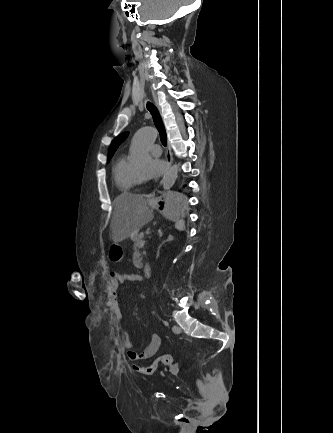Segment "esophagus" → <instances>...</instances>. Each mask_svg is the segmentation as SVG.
<instances>
[{"mask_svg": "<svg viewBox=\"0 0 333 433\" xmlns=\"http://www.w3.org/2000/svg\"><path fill=\"white\" fill-rule=\"evenodd\" d=\"M172 151H171V147L169 144V140H167V151H166V161H167V168H166V172L170 169L171 164H172Z\"/></svg>", "mask_w": 333, "mask_h": 433, "instance_id": "1", "label": "esophagus"}]
</instances>
